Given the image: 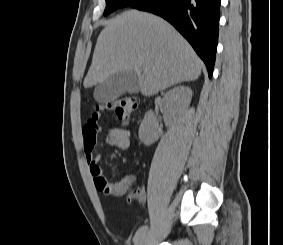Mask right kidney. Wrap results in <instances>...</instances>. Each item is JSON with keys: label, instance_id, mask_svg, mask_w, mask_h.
<instances>
[{"label": "right kidney", "instance_id": "1", "mask_svg": "<svg viewBox=\"0 0 283 245\" xmlns=\"http://www.w3.org/2000/svg\"><path fill=\"white\" fill-rule=\"evenodd\" d=\"M192 90L186 86H177L169 90L163 97L164 110L168 117H174L182 113L190 105ZM162 134L157 117L152 110L146 112L139 127V139L149 146L153 144Z\"/></svg>", "mask_w": 283, "mask_h": 245}]
</instances>
